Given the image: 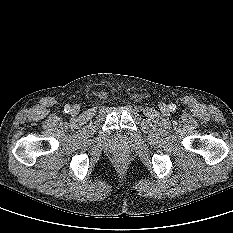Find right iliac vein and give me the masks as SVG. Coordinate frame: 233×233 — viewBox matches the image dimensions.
I'll use <instances>...</instances> for the list:
<instances>
[{"label": "right iliac vein", "instance_id": "1", "mask_svg": "<svg viewBox=\"0 0 233 233\" xmlns=\"http://www.w3.org/2000/svg\"><path fill=\"white\" fill-rule=\"evenodd\" d=\"M79 106L78 105H74L72 108H71V113L72 114H77L79 112Z\"/></svg>", "mask_w": 233, "mask_h": 233}]
</instances>
